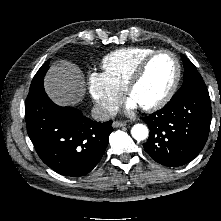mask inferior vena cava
I'll return each instance as SVG.
<instances>
[{"label": "inferior vena cava", "instance_id": "inferior-vena-cava-1", "mask_svg": "<svg viewBox=\"0 0 221 221\" xmlns=\"http://www.w3.org/2000/svg\"><path fill=\"white\" fill-rule=\"evenodd\" d=\"M116 115V111L103 104H96L92 108V117L96 121L106 122Z\"/></svg>", "mask_w": 221, "mask_h": 221}]
</instances>
